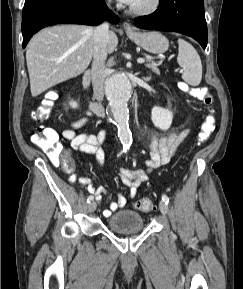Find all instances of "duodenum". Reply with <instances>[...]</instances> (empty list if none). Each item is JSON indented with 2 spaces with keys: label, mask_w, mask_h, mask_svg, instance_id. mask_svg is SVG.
<instances>
[{
  "label": "duodenum",
  "mask_w": 243,
  "mask_h": 289,
  "mask_svg": "<svg viewBox=\"0 0 243 289\" xmlns=\"http://www.w3.org/2000/svg\"><path fill=\"white\" fill-rule=\"evenodd\" d=\"M90 83H91V72L87 71L84 73L83 79H82V85H83V89L85 91L87 103H88L90 109L96 115L103 117L105 115L104 107L101 103H99L98 101L94 100L91 97V95L89 93Z\"/></svg>",
  "instance_id": "1"
}]
</instances>
